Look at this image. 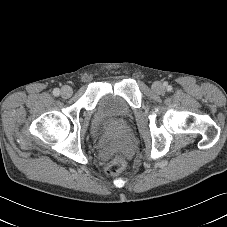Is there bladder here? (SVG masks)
Listing matches in <instances>:
<instances>
[{
	"label": "bladder",
	"instance_id": "1",
	"mask_svg": "<svg viewBox=\"0 0 227 227\" xmlns=\"http://www.w3.org/2000/svg\"><path fill=\"white\" fill-rule=\"evenodd\" d=\"M131 116L127 102L114 93H105L93 111L90 131L94 136L108 135Z\"/></svg>",
	"mask_w": 227,
	"mask_h": 227
}]
</instances>
